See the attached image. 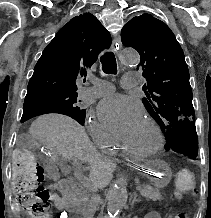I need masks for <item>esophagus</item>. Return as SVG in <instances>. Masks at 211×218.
I'll list each match as a JSON object with an SVG mask.
<instances>
[{"mask_svg": "<svg viewBox=\"0 0 211 218\" xmlns=\"http://www.w3.org/2000/svg\"><path fill=\"white\" fill-rule=\"evenodd\" d=\"M122 48V42L120 37H116L112 42V50L117 53ZM125 153H122L120 159H123ZM124 164H126V168H128V172H142V167L140 163H136L135 159H124Z\"/></svg>", "mask_w": 211, "mask_h": 218, "instance_id": "esophagus-1", "label": "esophagus"}]
</instances>
